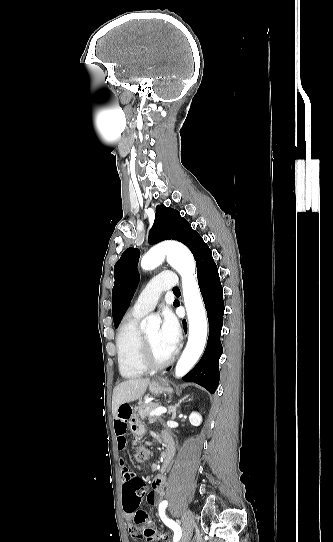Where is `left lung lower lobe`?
Here are the masks:
<instances>
[{
  "label": "left lung lower lobe",
  "mask_w": 333,
  "mask_h": 542,
  "mask_svg": "<svg viewBox=\"0 0 333 542\" xmlns=\"http://www.w3.org/2000/svg\"><path fill=\"white\" fill-rule=\"evenodd\" d=\"M195 260L198 284L209 321V337L202 358L183 377V380L195 382L206 388L210 393H214L220 378L219 358L223 353L220 341L224 315L223 288L220 283L217 266L212 257V252L206 243L200 247ZM174 306H179V302L175 301ZM183 327L186 331L187 325L185 320H183Z\"/></svg>",
  "instance_id": "obj_1"
}]
</instances>
